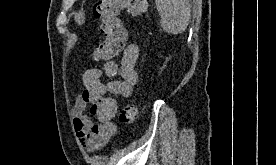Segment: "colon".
Returning <instances> with one entry per match:
<instances>
[{
	"label": "colon",
	"mask_w": 276,
	"mask_h": 165,
	"mask_svg": "<svg viewBox=\"0 0 276 165\" xmlns=\"http://www.w3.org/2000/svg\"><path fill=\"white\" fill-rule=\"evenodd\" d=\"M146 0H99L93 8L94 16L100 22L102 40L93 51L96 60H111L124 48L126 31L119 16L126 12L140 17L147 12ZM137 117V107L134 102L124 105L118 114L120 123L132 124Z\"/></svg>",
	"instance_id": "1"
}]
</instances>
